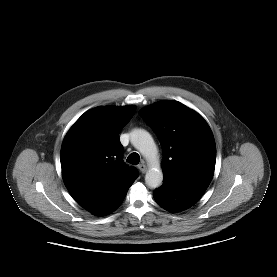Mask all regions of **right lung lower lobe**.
Returning a JSON list of instances; mask_svg holds the SVG:
<instances>
[{
	"mask_svg": "<svg viewBox=\"0 0 277 277\" xmlns=\"http://www.w3.org/2000/svg\"><path fill=\"white\" fill-rule=\"evenodd\" d=\"M133 183V182H132ZM132 183H130L129 185H127L114 199H112L107 205H105L103 208L93 212L94 215L96 216H103V215H107L110 212L114 211L124 200V197L127 194V191L129 189V187L132 185Z\"/></svg>",
	"mask_w": 277,
	"mask_h": 277,
	"instance_id": "98d812e1",
	"label": "right lung lower lobe"
}]
</instances>
